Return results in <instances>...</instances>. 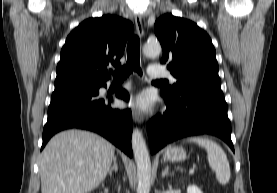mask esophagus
<instances>
[{
	"label": "esophagus",
	"mask_w": 277,
	"mask_h": 193,
	"mask_svg": "<svg viewBox=\"0 0 277 193\" xmlns=\"http://www.w3.org/2000/svg\"><path fill=\"white\" fill-rule=\"evenodd\" d=\"M135 26H136V30H137L138 35L140 37H143L144 28H143L141 17L138 16V15H135ZM133 120L137 123H143L144 120H145V117L140 111L136 110V111L133 112Z\"/></svg>",
	"instance_id": "esophagus-1"
}]
</instances>
